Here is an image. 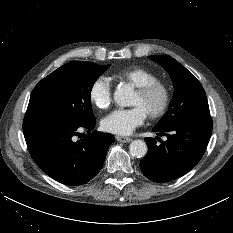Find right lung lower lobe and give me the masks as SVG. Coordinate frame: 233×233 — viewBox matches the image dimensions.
<instances>
[{
	"instance_id": "right-lung-lower-lobe-1",
	"label": "right lung lower lobe",
	"mask_w": 233,
	"mask_h": 233,
	"mask_svg": "<svg viewBox=\"0 0 233 233\" xmlns=\"http://www.w3.org/2000/svg\"><path fill=\"white\" fill-rule=\"evenodd\" d=\"M95 121L77 120L49 112L27 111L23 133L30 154L36 164L54 180L66 185H82L101 169L107 149L114 136L91 132ZM82 129L87 135L79 141L75 136Z\"/></svg>"
}]
</instances>
